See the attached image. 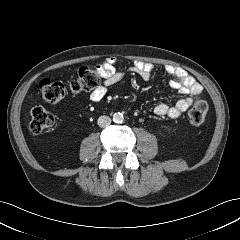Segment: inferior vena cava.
<instances>
[{"label": "inferior vena cava", "instance_id": "obj_1", "mask_svg": "<svg viewBox=\"0 0 240 240\" xmlns=\"http://www.w3.org/2000/svg\"><path fill=\"white\" fill-rule=\"evenodd\" d=\"M97 123L100 127L105 128L111 124V119L108 116H100Z\"/></svg>", "mask_w": 240, "mask_h": 240}]
</instances>
